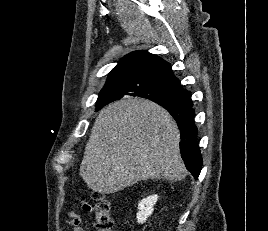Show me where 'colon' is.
I'll list each match as a JSON object with an SVG mask.
<instances>
[{"instance_id":"colon-1","label":"colon","mask_w":268,"mask_h":231,"mask_svg":"<svg viewBox=\"0 0 268 231\" xmlns=\"http://www.w3.org/2000/svg\"><path fill=\"white\" fill-rule=\"evenodd\" d=\"M95 205L93 208V220L98 231H113L114 224L111 217L110 203L101 194L94 193ZM88 206V205H87Z\"/></svg>"}]
</instances>
